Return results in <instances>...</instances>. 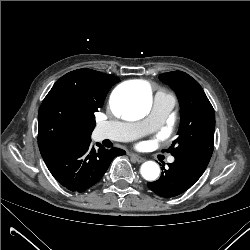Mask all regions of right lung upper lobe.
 <instances>
[{"label": "right lung upper lobe", "instance_id": "right-lung-upper-lobe-1", "mask_svg": "<svg viewBox=\"0 0 250 250\" xmlns=\"http://www.w3.org/2000/svg\"><path fill=\"white\" fill-rule=\"evenodd\" d=\"M112 74L83 68L61 77L43 100L38 113V145L43 150L69 141L90 138L94 113L101 108L111 86Z\"/></svg>", "mask_w": 250, "mask_h": 250}]
</instances>
